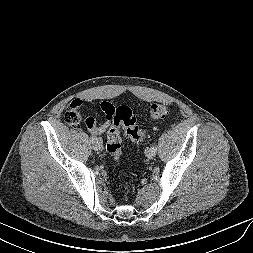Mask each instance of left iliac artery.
<instances>
[{
	"label": "left iliac artery",
	"instance_id": "left-iliac-artery-1",
	"mask_svg": "<svg viewBox=\"0 0 253 253\" xmlns=\"http://www.w3.org/2000/svg\"><path fill=\"white\" fill-rule=\"evenodd\" d=\"M151 148H152L153 150L157 151V147H156V146L153 145Z\"/></svg>",
	"mask_w": 253,
	"mask_h": 253
}]
</instances>
